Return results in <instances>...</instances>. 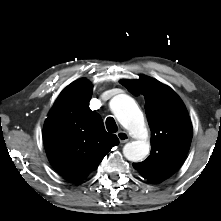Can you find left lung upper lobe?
I'll return each mask as SVG.
<instances>
[{
    "label": "left lung upper lobe",
    "mask_w": 221,
    "mask_h": 221,
    "mask_svg": "<svg viewBox=\"0 0 221 221\" xmlns=\"http://www.w3.org/2000/svg\"><path fill=\"white\" fill-rule=\"evenodd\" d=\"M120 83L132 94L144 95L151 128L150 156L133 167L148 181L162 182L179 169L190 148L192 124L185 105L170 87L151 77Z\"/></svg>",
    "instance_id": "left-lung-upper-lobe-1"
}]
</instances>
